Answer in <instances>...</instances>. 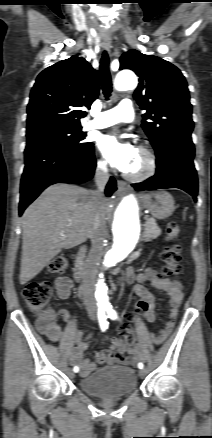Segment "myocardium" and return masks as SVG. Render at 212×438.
I'll list each match as a JSON object with an SVG mask.
<instances>
[{
  "instance_id": "1",
  "label": "myocardium",
  "mask_w": 212,
  "mask_h": 438,
  "mask_svg": "<svg viewBox=\"0 0 212 438\" xmlns=\"http://www.w3.org/2000/svg\"><path fill=\"white\" fill-rule=\"evenodd\" d=\"M138 153L145 159L146 166L141 172H125L124 176L131 181L142 182L153 177L158 170V161L153 152L145 147H140Z\"/></svg>"
}]
</instances>
